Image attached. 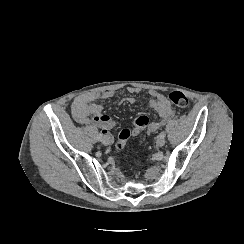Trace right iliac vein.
<instances>
[{"label":"right iliac vein","instance_id":"63e3f726","mask_svg":"<svg viewBox=\"0 0 244 244\" xmlns=\"http://www.w3.org/2000/svg\"><path fill=\"white\" fill-rule=\"evenodd\" d=\"M102 144L107 146L110 144V137L109 136H104V138L102 139Z\"/></svg>","mask_w":244,"mask_h":244}]
</instances>
